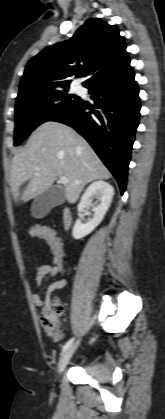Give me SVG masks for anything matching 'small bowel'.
Here are the masks:
<instances>
[{"label": "small bowel", "mask_w": 165, "mask_h": 419, "mask_svg": "<svg viewBox=\"0 0 165 419\" xmlns=\"http://www.w3.org/2000/svg\"><path fill=\"white\" fill-rule=\"evenodd\" d=\"M42 227V226H35ZM39 240L45 241L43 238ZM60 271V268L56 264H41L36 267L35 284L37 287H41L50 278L56 276ZM68 283L67 278H62L52 282L46 289V297L42 298L40 294L33 295V301L36 306L42 307L48 300L50 294L56 290L64 288Z\"/></svg>", "instance_id": "small-bowel-1"}]
</instances>
